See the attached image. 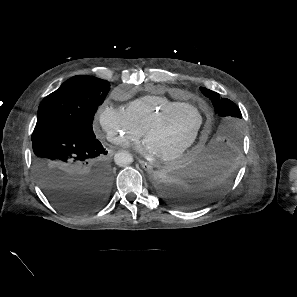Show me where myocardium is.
Segmentation results:
<instances>
[{
    "instance_id": "1",
    "label": "myocardium",
    "mask_w": 297,
    "mask_h": 297,
    "mask_svg": "<svg viewBox=\"0 0 297 297\" xmlns=\"http://www.w3.org/2000/svg\"><path fill=\"white\" fill-rule=\"evenodd\" d=\"M186 108H191L198 112L199 117H200L198 127H197L196 131L194 132V134L191 136V138L188 141H186L182 146H180L178 149H176L172 152H168L163 155H159L158 157L161 161L167 162V161H172V160H175V159L181 157L188 149H190L198 141L200 133L203 128V125H204V122H205V116H204L203 112L200 111L198 107H196L192 104H189V103H184V104L176 106V107L167 108V109L163 110L162 112L158 113L146 125V127L143 130V136L145 139H147L148 134L153 129L160 126L170 116H172Z\"/></svg>"
}]
</instances>
